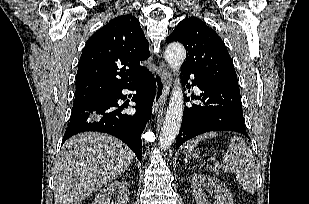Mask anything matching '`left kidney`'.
<instances>
[{"instance_id":"5707ae66","label":"left kidney","mask_w":309,"mask_h":204,"mask_svg":"<svg viewBox=\"0 0 309 204\" xmlns=\"http://www.w3.org/2000/svg\"><path fill=\"white\" fill-rule=\"evenodd\" d=\"M205 187L214 191V204H235L231 193L219 179L195 173L192 177V189L197 204H211L203 192Z\"/></svg>"}]
</instances>
